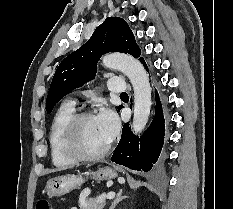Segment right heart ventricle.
<instances>
[{
  "instance_id": "right-heart-ventricle-1",
  "label": "right heart ventricle",
  "mask_w": 233,
  "mask_h": 209,
  "mask_svg": "<svg viewBox=\"0 0 233 209\" xmlns=\"http://www.w3.org/2000/svg\"><path fill=\"white\" fill-rule=\"evenodd\" d=\"M74 114V104L66 102L59 107L51 124L49 133L51 158L53 164L59 168H67L75 163V161L66 156L62 145L64 129Z\"/></svg>"
}]
</instances>
